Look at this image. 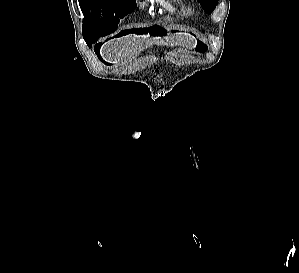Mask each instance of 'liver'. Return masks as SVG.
<instances>
[{
  "label": "liver",
  "mask_w": 299,
  "mask_h": 273,
  "mask_svg": "<svg viewBox=\"0 0 299 273\" xmlns=\"http://www.w3.org/2000/svg\"><path fill=\"white\" fill-rule=\"evenodd\" d=\"M154 44L158 46L168 44L170 46H193L194 39L184 33L168 35L165 38L128 35L108 41L102 46L101 52L105 59L114 63H123L134 58V55L137 56L145 48L152 47Z\"/></svg>",
  "instance_id": "obj_1"
}]
</instances>
